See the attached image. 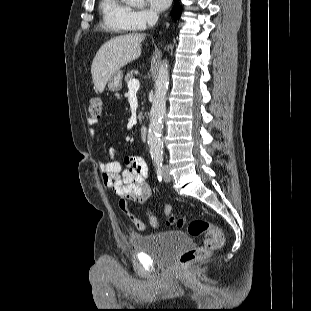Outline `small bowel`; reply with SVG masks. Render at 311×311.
<instances>
[{
    "label": "small bowel",
    "instance_id": "1",
    "mask_svg": "<svg viewBox=\"0 0 311 311\" xmlns=\"http://www.w3.org/2000/svg\"><path fill=\"white\" fill-rule=\"evenodd\" d=\"M97 121H88L90 133L94 135L93 126ZM110 161H99L98 166L101 171L103 184L114 191L119 197V207L132 221L139 231H144L145 223L136 216L130 209L129 202L143 204L150 197L151 188L147 181L148 167L145 159L141 155L123 156L122 161L116 160L119 156L116 150H110ZM169 211V206L164 205ZM149 220L155 227L159 222L152 210L148 212Z\"/></svg>",
    "mask_w": 311,
    "mask_h": 311
}]
</instances>
